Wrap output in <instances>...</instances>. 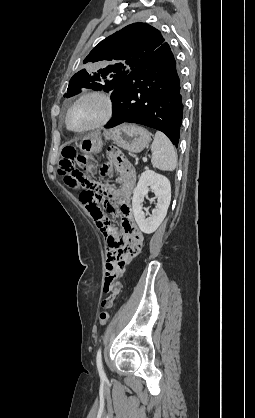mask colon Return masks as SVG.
Instances as JSON below:
<instances>
[{
    "label": "colon",
    "mask_w": 255,
    "mask_h": 418,
    "mask_svg": "<svg viewBox=\"0 0 255 418\" xmlns=\"http://www.w3.org/2000/svg\"><path fill=\"white\" fill-rule=\"evenodd\" d=\"M94 171L95 163L85 155L79 154L74 147L67 146L62 149L58 165L59 174L64 177V182L69 188L82 189L79 196L80 201L92 216V220L99 222V225L104 227L105 223L101 220H106V215H103L102 208L106 209L105 211L109 215L113 213L115 208L103 195L104 188L90 178ZM122 228H137V226L133 221H130ZM108 320V311L102 310L99 315L100 324L106 325Z\"/></svg>",
    "instance_id": "colon-1"
}]
</instances>
